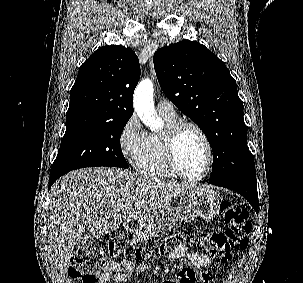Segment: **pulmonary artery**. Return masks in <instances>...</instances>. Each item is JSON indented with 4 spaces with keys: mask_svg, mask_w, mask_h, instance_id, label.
<instances>
[{
    "mask_svg": "<svg viewBox=\"0 0 303 283\" xmlns=\"http://www.w3.org/2000/svg\"><path fill=\"white\" fill-rule=\"evenodd\" d=\"M157 111L159 112V114L165 115V116H175L176 115L173 105L169 101H166V100H160L157 103Z\"/></svg>",
    "mask_w": 303,
    "mask_h": 283,
    "instance_id": "obj_1",
    "label": "pulmonary artery"
}]
</instances>
